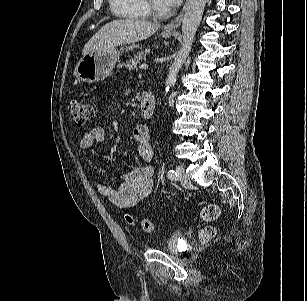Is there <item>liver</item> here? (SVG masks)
I'll list each match as a JSON object with an SVG mask.
<instances>
[{
    "instance_id": "obj_1",
    "label": "liver",
    "mask_w": 307,
    "mask_h": 301,
    "mask_svg": "<svg viewBox=\"0 0 307 301\" xmlns=\"http://www.w3.org/2000/svg\"><path fill=\"white\" fill-rule=\"evenodd\" d=\"M160 24L140 19L114 20L104 25L84 46L83 56L92 51L114 49L152 36Z\"/></svg>"
}]
</instances>
